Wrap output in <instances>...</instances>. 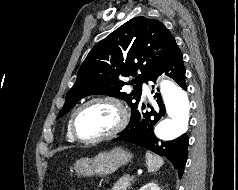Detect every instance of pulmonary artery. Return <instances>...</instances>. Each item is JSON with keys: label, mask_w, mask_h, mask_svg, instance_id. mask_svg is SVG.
Wrapping results in <instances>:
<instances>
[{"label": "pulmonary artery", "mask_w": 238, "mask_h": 190, "mask_svg": "<svg viewBox=\"0 0 238 190\" xmlns=\"http://www.w3.org/2000/svg\"><path fill=\"white\" fill-rule=\"evenodd\" d=\"M142 93L143 96H150V89L146 84H143L142 86Z\"/></svg>", "instance_id": "obj_1"}]
</instances>
